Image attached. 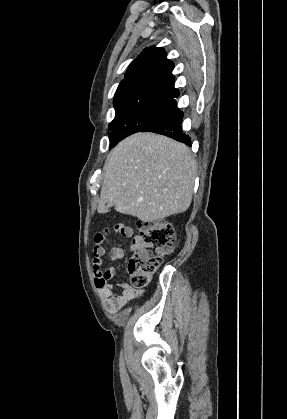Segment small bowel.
<instances>
[{"mask_svg": "<svg viewBox=\"0 0 287 419\" xmlns=\"http://www.w3.org/2000/svg\"><path fill=\"white\" fill-rule=\"evenodd\" d=\"M116 232L132 238L133 242L137 240V235L134 230L125 225L118 224L116 225ZM104 257V250L101 246H96L93 250L92 258V269L95 274L94 282L95 286L103 297L106 307L111 314H116L131 301L137 297V293L133 287L127 283H118L116 288L120 290L119 293L114 292V286L108 281L113 279L118 274V269L116 267H109L105 270L102 269ZM124 251L120 247L112 248L110 252V258L114 261L123 259Z\"/></svg>", "mask_w": 287, "mask_h": 419, "instance_id": "small-bowel-1", "label": "small bowel"}]
</instances>
